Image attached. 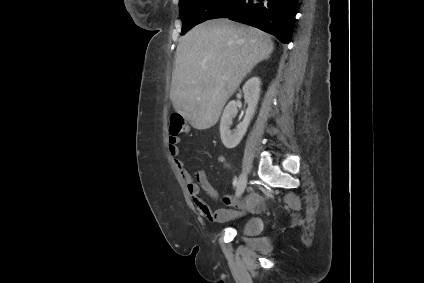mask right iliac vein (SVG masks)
Returning <instances> with one entry per match:
<instances>
[{
  "label": "right iliac vein",
  "mask_w": 424,
  "mask_h": 283,
  "mask_svg": "<svg viewBox=\"0 0 424 283\" xmlns=\"http://www.w3.org/2000/svg\"><path fill=\"white\" fill-rule=\"evenodd\" d=\"M246 184H247V178H246V174L243 172L240 175V178L238 180L236 194H235L236 198H240L242 196V194L245 191Z\"/></svg>",
  "instance_id": "1"
}]
</instances>
